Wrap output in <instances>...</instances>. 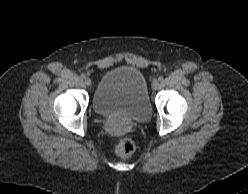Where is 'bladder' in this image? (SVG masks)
I'll use <instances>...</instances> for the list:
<instances>
[{
	"mask_svg": "<svg viewBox=\"0 0 248 194\" xmlns=\"http://www.w3.org/2000/svg\"><path fill=\"white\" fill-rule=\"evenodd\" d=\"M93 108L104 117L118 115L133 122L148 120L152 108L144 74L132 66L109 70L95 89Z\"/></svg>",
	"mask_w": 248,
	"mask_h": 194,
	"instance_id": "obj_1",
	"label": "bladder"
}]
</instances>
